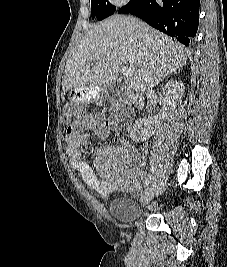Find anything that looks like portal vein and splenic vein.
<instances>
[{
  "label": "portal vein and splenic vein",
  "instance_id": "1",
  "mask_svg": "<svg viewBox=\"0 0 227 267\" xmlns=\"http://www.w3.org/2000/svg\"><path fill=\"white\" fill-rule=\"evenodd\" d=\"M121 73L123 74V76L127 78H130L133 76V70L130 67L123 66L121 68Z\"/></svg>",
  "mask_w": 227,
  "mask_h": 267
}]
</instances>
